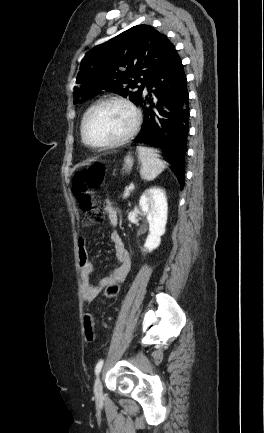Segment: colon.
I'll return each mask as SVG.
<instances>
[{
    "instance_id": "5ec220e1",
    "label": "colon",
    "mask_w": 264,
    "mask_h": 433,
    "mask_svg": "<svg viewBox=\"0 0 264 433\" xmlns=\"http://www.w3.org/2000/svg\"><path fill=\"white\" fill-rule=\"evenodd\" d=\"M105 168L102 164H92L83 170L77 172L73 179V192L77 202L84 212V224L86 226H95L104 221V212L100 209L99 200L92 192V189L98 188L104 181ZM120 292V284H109L104 296L106 299L116 297Z\"/></svg>"
}]
</instances>
